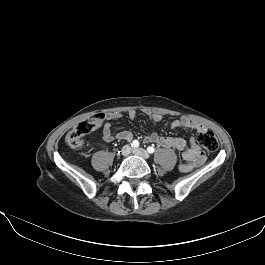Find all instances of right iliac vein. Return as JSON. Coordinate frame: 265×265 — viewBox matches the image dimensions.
Returning a JSON list of instances; mask_svg holds the SVG:
<instances>
[{"instance_id": "1", "label": "right iliac vein", "mask_w": 265, "mask_h": 265, "mask_svg": "<svg viewBox=\"0 0 265 265\" xmlns=\"http://www.w3.org/2000/svg\"><path fill=\"white\" fill-rule=\"evenodd\" d=\"M130 153H131V147H130V145H125V146H123L122 147V149H121V154L123 155V156H129L130 155Z\"/></svg>"}]
</instances>
